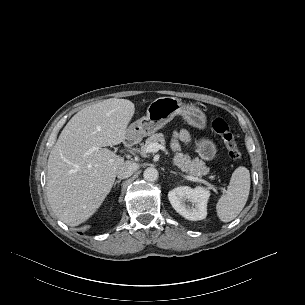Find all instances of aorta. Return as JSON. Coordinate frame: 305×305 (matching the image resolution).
<instances>
[{
	"instance_id": "aorta-1",
	"label": "aorta",
	"mask_w": 305,
	"mask_h": 305,
	"mask_svg": "<svg viewBox=\"0 0 305 305\" xmlns=\"http://www.w3.org/2000/svg\"><path fill=\"white\" fill-rule=\"evenodd\" d=\"M143 177L145 180L147 181H155L158 178V171L157 169L153 168V167H149L147 169H145L144 173H143Z\"/></svg>"
}]
</instances>
